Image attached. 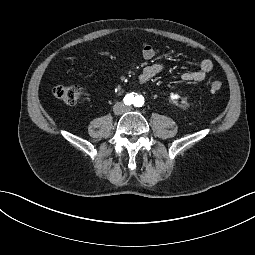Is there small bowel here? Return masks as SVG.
<instances>
[{"label":"small bowel","mask_w":255,"mask_h":255,"mask_svg":"<svg viewBox=\"0 0 255 255\" xmlns=\"http://www.w3.org/2000/svg\"><path fill=\"white\" fill-rule=\"evenodd\" d=\"M142 56L146 60H152L156 56V49L152 45H145L142 49ZM213 63L209 59L200 61L198 69L188 71L182 74L181 78L184 81H202L206 75L212 70ZM165 69L164 63H153L145 66L138 75L137 82L139 85H145L155 76L160 74Z\"/></svg>","instance_id":"1"}]
</instances>
